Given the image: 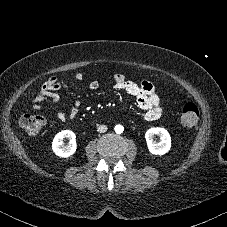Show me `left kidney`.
<instances>
[{
  "label": "left kidney",
  "instance_id": "obj_1",
  "mask_svg": "<svg viewBox=\"0 0 227 227\" xmlns=\"http://www.w3.org/2000/svg\"><path fill=\"white\" fill-rule=\"evenodd\" d=\"M159 136V142L153 140L154 136ZM145 138L149 152L154 155H164L171 148V137L169 132L162 127H153L147 130Z\"/></svg>",
  "mask_w": 227,
  "mask_h": 227
}]
</instances>
